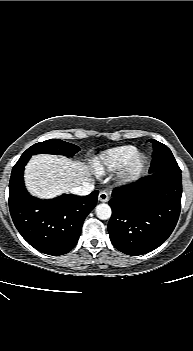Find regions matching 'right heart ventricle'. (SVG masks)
I'll return each instance as SVG.
<instances>
[{"mask_svg": "<svg viewBox=\"0 0 193 351\" xmlns=\"http://www.w3.org/2000/svg\"><path fill=\"white\" fill-rule=\"evenodd\" d=\"M132 152L133 149L130 147H121L110 150L100 157L97 162V168L103 169L104 167H116L122 162H126L130 158Z\"/></svg>", "mask_w": 193, "mask_h": 351, "instance_id": "right-heart-ventricle-1", "label": "right heart ventricle"}]
</instances>
